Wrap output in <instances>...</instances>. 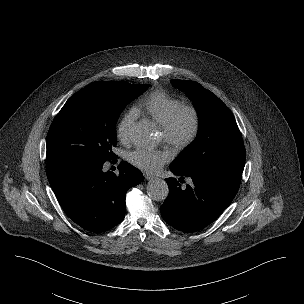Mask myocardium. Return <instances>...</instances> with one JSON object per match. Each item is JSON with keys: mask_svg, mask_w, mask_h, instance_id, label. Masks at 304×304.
I'll return each instance as SVG.
<instances>
[{"mask_svg": "<svg viewBox=\"0 0 304 304\" xmlns=\"http://www.w3.org/2000/svg\"><path fill=\"white\" fill-rule=\"evenodd\" d=\"M188 120V129L182 133L181 125ZM201 126L198 109L193 105H181L162 127L163 141L176 150L190 146L197 138Z\"/></svg>", "mask_w": 304, "mask_h": 304, "instance_id": "myocardium-1", "label": "myocardium"}]
</instances>
